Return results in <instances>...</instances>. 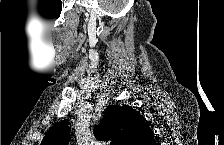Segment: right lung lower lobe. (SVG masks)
I'll list each match as a JSON object with an SVG mask.
<instances>
[{
  "label": "right lung lower lobe",
  "mask_w": 224,
  "mask_h": 145,
  "mask_svg": "<svg viewBox=\"0 0 224 145\" xmlns=\"http://www.w3.org/2000/svg\"><path fill=\"white\" fill-rule=\"evenodd\" d=\"M155 144V141H154V138L152 140L149 141V145H154Z\"/></svg>",
  "instance_id": "obj_1"
}]
</instances>
